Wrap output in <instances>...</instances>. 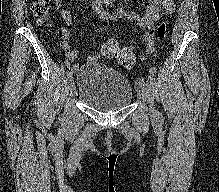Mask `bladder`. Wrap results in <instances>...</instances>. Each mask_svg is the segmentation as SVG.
<instances>
[{"label":"bladder","mask_w":219,"mask_h":192,"mask_svg":"<svg viewBox=\"0 0 219 192\" xmlns=\"http://www.w3.org/2000/svg\"><path fill=\"white\" fill-rule=\"evenodd\" d=\"M75 95L90 109L109 112L128 107L134 90L129 80L100 62H89L77 70Z\"/></svg>","instance_id":"1"}]
</instances>
